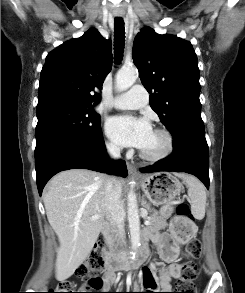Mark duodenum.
I'll list each match as a JSON object with an SVG mask.
<instances>
[{"label": "duodenum", "instance_id": "1", "mask_svg": "<svg viewBox=\"0 0 245 293\" xmlns=\"http://www.w3.org/2000/svg\"><path fill=\"white\" fill-rule=\"evenodd\" d=\"M112 227V222H107L101 230L102 236L108 238ZM146 254L147 252L144 247H141L139 254L135 259H130L123 251H117L114 254H107L105 256V267L109 271L138 269L141 266V259L144 258Z\"/></svg>", "mask_w": 245, "mask_h": 293}]
</instances>
